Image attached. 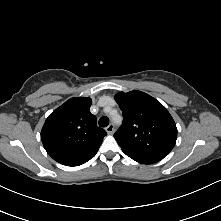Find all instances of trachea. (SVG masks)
Masks as SVG:
<instances>
[{"mask_svg":"<svg viewBox=\"0 0 221 221\" xmlns=\"http://www.w3.org/2000/svg\"><path fill=\"white\" fill-rule=\"evenodd\" d=\"M109 124V120L107 117L103 116L99 119V126L100 127H107Z\"/></svg>","mask_w":221,"mask_h":221,"instance_id":"3493384b","label":"trachea"}]
</instances>
